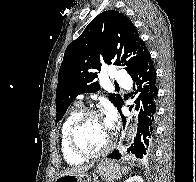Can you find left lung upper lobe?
<instances>
[{
  "mask_svg": "<svg viewBox=\"0 0 196 182\" xmlns=\"http://www.w3.org/2000/svg\"><path fill=\"white\" fill-rule=\"evenodd\" d=\"M149 56L136 27L127 16L115 10L96 16L65 51L58 75L56 123L77 95L99 90V83L95 80L102 66L124 67L129 75H133ZM108 98L117 109L123 101L119 94H109Z\"/></svg>",
  "mask_w": 196,
  "mask_h": 182,
  "instance_id": "left-lung-upper-lobe-1",
  "label": "left lung upper lobe"
}]
</instances>
